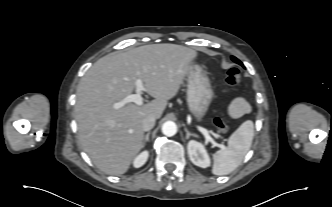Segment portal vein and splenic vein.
Returning a JSON list of instances; mask_svg holds the SVG:
<instances>
[{
  "instance_id": "obj_1",
  "label": "portal vein and splenic vein",
  "mask_w": 332,
  "mask_h": 207,
  "mask_svg": "<svg viewBox=\"0 0 332 207\" xmlns=\"http://www.w3.org/2000/svg\"><path fill=\"white\" fill-rule=\"evenodd\" d=\"M136 93L135 94H130L128 96H126L122 101L120 102H117L114 104V108L115 109H118V108H121L122 106H124L125 104L127 103H135L137 104L138 106H142L143 105V99H142V92L143 91H146L144 85H143V82L142 80L140 79H137L136 80ZM199 131L202 132V134L205 136L206 140L207 141H210L212 144H214L215 146L221 148V149H224L225 146L223 144H217L212 138L211 136L209 135V131L206 130L205 128H202V127H198Z\"/></svg>"
}]
</instances>
